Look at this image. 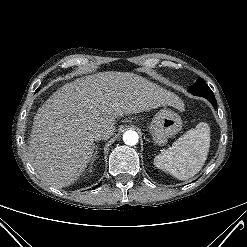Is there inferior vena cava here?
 <instances>
[{
	"label": "inferior vena cava",
	"instance_id": "inferior-vena-cava-1",
	"mask_svg": "<svg viewBox=\"0 0 247 247\" xmlns=\"http://www.w3.org/2000/svg\"><path fill=\"white\" fill-rule=\"evenodd\" d=\"M106 133L103 130H95L90 134V138L95 141L105 139Z\"/></svg>",
	"mask_w": 247,
	"mask_h": 247
}]
</instances>
